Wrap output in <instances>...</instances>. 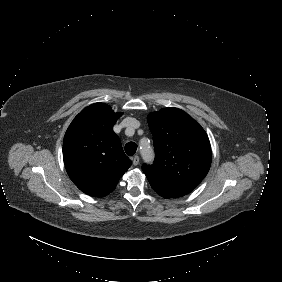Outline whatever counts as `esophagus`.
<instances>
[{
  "label": "esophagus",
  "instance_id": "34e87169",
  "mask_svg": "<svg viewBox=\"0 0 282 282\" xmlns=\"http://www.w3.org/2000/svg\"><path fill=\"white\" fill-rule=\"evenodd\" d=\"M139 163V156L138 155H135L134 158H133V165H138Z\"/></svg>",
  "mask_w": 282,
  "mask_h": 282
}]
</instances>
